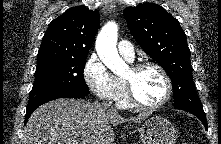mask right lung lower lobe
I'll return each instance as SVG.
<instances>
[{"label": "right lung lower lobe", "instance_id": "right-lung-lower-lobe-1", "mask_svg": "<svg viewBox=\"0 0 221 144\" xmlns=\"http://www.w3.org/2000/svg\"><path fill=\"white\" fill-rule=\"evenodd\" d=\"M87 95H88V93L79 92V91H72V90L53 93L50 96L46 97L45 99L41 100L38 104L27 108L26 115H25V123L27 122V120L29 119V117L31 116L33 111L37 107L43 105L44 103H47L51 100L58 99V98H82V97H85Z\"/></svg>", "mask_w": 221, "mask_h": 144}]
</instances>
